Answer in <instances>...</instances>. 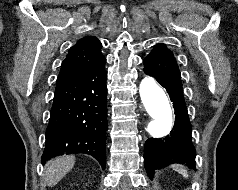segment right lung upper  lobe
I'll return each mask as SVG.
<instances>
[{"label":"right lung upper lobe","mask_w":238,"mask_h":190,"mask_svg":"<svg viewBox=\"0 0 238 190\" xmlns=\"http://www.w3.org/2000/svg\"><path fill=\"white\" fill-rule=\"evenodd\" d=\"M101 46L96 37L86 36L78 40L62 62L57 85L81 76L105 60Z\"/></svg>","instance_id":"1"}]
</instances>
